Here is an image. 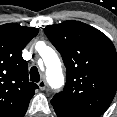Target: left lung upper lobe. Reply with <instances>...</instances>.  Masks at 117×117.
<instances>
[{"mask_svg":"<svg viewBox=\"0 0 117 117\" xmlns=\"http://www.w3.org/2000/svg\"><path fill=\"white\" fill-rule=\"evenodd\" d=\"M67 69L66 85L51 100L58 117H99L117 89V54L98 29L68 20L44 28Z\"/></svg>","mask_w":117,"mask_h":117,"instance_id":"1","label":"left lung upper lobe"}]
</instances>
